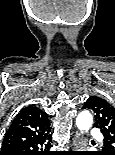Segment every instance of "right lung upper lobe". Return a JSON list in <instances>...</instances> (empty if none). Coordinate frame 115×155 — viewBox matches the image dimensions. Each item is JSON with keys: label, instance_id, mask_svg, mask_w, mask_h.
Returning <instances> with one entry per match:
<instances>
[{"label": "right lung upper lobe", "instance_id": "obj_1", "mask_svg": "<svg viewBox=\"0 0 115 155\" xmlns=\"http://www.w3.org/2000/svg\"><path fill=\"white\" fill-rule=\"evenodd\" d=\"M51 130L48 116L34 105L23 108L5 133L1 151L35 139L44 138Z\"/></svg>", "mask_w": 115, "mask_h": 155}]
</instances>
